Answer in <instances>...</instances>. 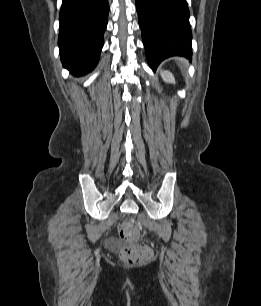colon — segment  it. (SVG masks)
I'll list each match as a JSON object with an SVG mask.
<instances>
[{"label":"colon","mask_w":261,"mask_h":306,"mask_svg":"<svg viewBox=\"0 0 261 306\" xmlns=\"http://www.w3.org/2000/svg\"><path fill=\"white\" fill-rule=\"evenodd\" d=\"M120 236L127 244L121 250V258L132 264L146 262L150 256V249L143 244H135L133 241L138 236V230L132 223H125L120 228Z\"/></svg>","instance_id":"colon-1"}]
</instances>
